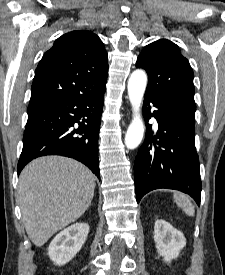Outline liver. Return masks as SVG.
<instances>
[{"label":"liver","instance_id":"1","mask_svg":"<svg viewBox=\"0 0 225 275\" xmlns=\"http://www.w3.org/2000/svg\"><path fill=\"white\" fill-rule=\"evenodd\" d=\"M95 176L80 162L44 156L30 162L19 177L18 196L28 237L43 246L89 207Z\"/></svg>","mask_w":225,"mask_h":275}]
</instances>
